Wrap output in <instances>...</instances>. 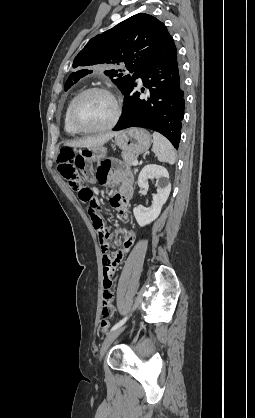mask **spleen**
<instances>
[{"label":"spleen","mask_w":255,"mask_h":418,"mask_svg":"<svg viewBox=\"0 0 255 418\" xmlns=\"http://www.w3.org/2000/svg\"><path fill=\"white\" fill-rule=\"evenodd\" d=\"M153 152L160 162L173 165L176 161L174 147L167 138L158 132L153 133Z\"/></svg>","instance_id":"1"}]
</instances>
